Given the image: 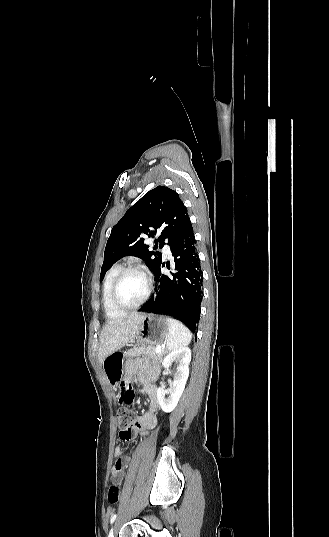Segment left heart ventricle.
I'll return each mask as SVG.
<instances>
[{"instance_id":"b2bd125f","label":"left heart ventricle","mask_w":329,"mask_h":537,"mask_svg":"<svg viewBox=\"0 0 329 537\" xmlns=\"http://www.w3.org/2000/svg\"><path fill=\"white\" fill-rule=\"evenodd\" d=\"M146 288L147 281L143 274L137 271L129 272L119 285V300L125 305H133L143 297Z\"/></svg>"}]
</instances>
